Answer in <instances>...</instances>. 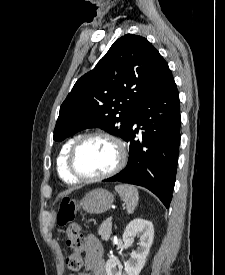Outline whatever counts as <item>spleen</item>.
<instances>
[{"label": "spleen", "mask_w": 225, "mask_h": 275, "mask_svg": "<svg viewBox=\"0 0 225 275\" xmlns=\"http://www.w3.org/2000/svg\"><path fill=\"white\" fill-rule=\"evenodd\" d=\"M116 192L120 195L127 207V213L132 214L138 205L139 194L136 187L132 185H117Z\"/></svg>", "instance_id": "spleen-1"}]
</instances>
